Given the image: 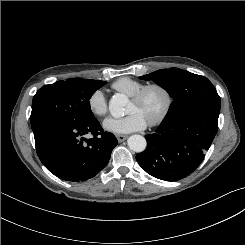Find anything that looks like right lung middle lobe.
Instances as JSON below:
<instances>
[{"instance_id":"obj_1","label":"right lung middle lobe","mask_w":245,"mask_h":245,"mask_svg":"<svg viewBox=\"0 0 245 245\" xmlns=\"http://www.w3.org/2000/svg\"><path fill=\"white\" fill-rule=\"evenodd\" d=\"M107 82L83 78L57 81L40 88L33 97L30 122L32 129L46 120L69 124L86 123L95 119L89 100Z\"/></svg>"}]
</instances>
